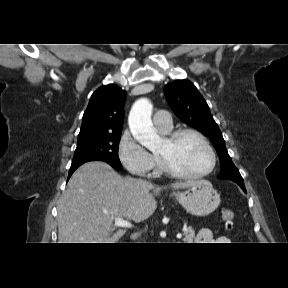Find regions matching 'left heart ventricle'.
Wrapping results in <instances>:
<instances>
[{"mask_svg":"<svg viewBox=\"0 0 288 288\" xmlns=\"http://www.w3.org/2000/svg\"><path fill=\"white\" fill-rule=\"evenodd\" d=\"M157 155L168 159L177 169L188 174L206 171L211 164L208 150L192 135H185L173 144L164 139Z\"/></svg>","mask_w":288,"mask_h":288,"instance_id":"1","label":"left heart ventricle"}]
</instances>
